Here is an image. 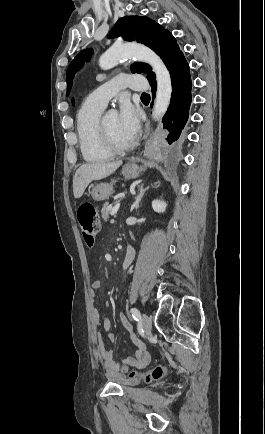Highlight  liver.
Instances as JSON below:
<instances>
[{
    "label": "liver",
    "mask_w": 265,
    "mask_h": 434,
    "mask_svg": "<svg viewBox=\"0 0 265 434\" xmlns=\"http://www.w3.org/2000/svg\"><path fill=\"white\" fill-rule=\"evenodd\" d=\"M121 164L122 162H109V164L97 162V164H83V166H80V168L76 170L73 178L74 198H81L90 182L107 178V176L113 174Z\"/></svg>",
    "instance_id": "1"
}]
</instances>
